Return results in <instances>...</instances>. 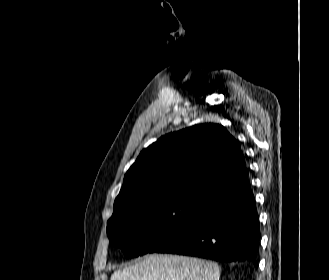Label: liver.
Masks as SVG:
<instances>
[{
  "instance_id": "1",
  "label": "liver",
  "mask_w": 329,
  "mask_h": 280,
  "mask_svg": "<svg viewBox=\"0 0 329 280\" xmlns=\"http://www.w3.org/2000/svg\"><path fill=\"white\" fill-rule=\"evenodd\" d=\"M220 268L211 261L169 254H152L114 271L110 280H219Z\"/></svg>"
}]
</instances>
